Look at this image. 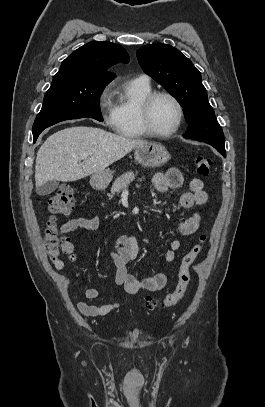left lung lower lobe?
<instances>
[{"mask_svg": "<svg viewBox=\"0 0 265 407\" xmlns=\"http://www.w3.org/2000/svg\"><path fill=\"white\" fill-rule=\"evenodd\" d=\"M218 152H220L224 157H226V152L223 150L219 149L218 147L216 148Z\"/></svg>", "mask_w": 265, "mask_h": 407, "instance_id": "0a47b994", "label": "left lung lower lobe"}]
</instances>
